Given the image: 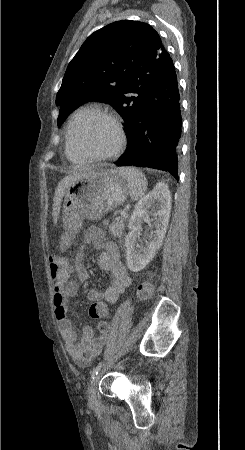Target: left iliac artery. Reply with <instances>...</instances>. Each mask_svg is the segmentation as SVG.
Segmentation results:
<instances>
[{
    "label": "left iliac artery",
    "mask_w": 245,
    "mask_h": 450,
    "mask_svg": "<svg viewBox=\"0 0 245 450\" xmlns=\"http://www.w3.org/2000/svg\"><path fill=\"white\" fill-rule=\"evenodd\" d=\"M102 365H103V363L101 362L93 369L92 374H91V379H94L95 376L99 373Z\"/></svg>",
    "instance_id": "obj_1"
}]
</instances>
